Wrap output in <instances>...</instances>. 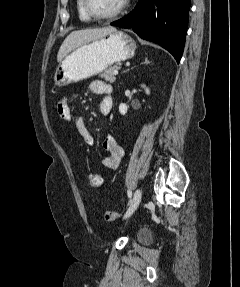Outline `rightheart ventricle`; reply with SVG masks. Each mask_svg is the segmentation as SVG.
<instances>
[{"mask_svg":"<svg viewBox=\"0 0 240 287\" xmlns=\"http://www.w3.org/2000/svg\"><path fill=\"white\" fill-rule=\"evenodd\" d=\"M76 9L79 19L83 22H89L92 18L87 14L84 8V0H76Z\"/></svg>","mask_w":240,"mask_h":287,"instance_id":"right-heart-ventricle-1","label":"right heart ventricle"}]
</instances>
